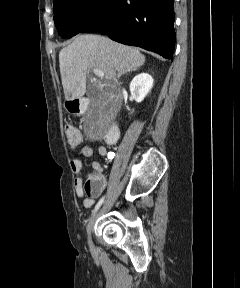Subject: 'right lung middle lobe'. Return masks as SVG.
Here are the masks:
<instances>
[{
    "mask_svg": "<svg viewBox=\"0 0 240 288\" xmlns=\"http://www.w3.org/2000/svg\"><path fill=\"white\" fill-rule=\"evenodd\" d=\"M54 22L62 38L81 33L105 10L110 0H54Z\"/></svg>",
    "mask_w": 240,
    "mask_h": 288,
    "instance_id": "right-lung-middle-lobe-1",
    "label": "right lung middle lobe"
}]
</instances>
